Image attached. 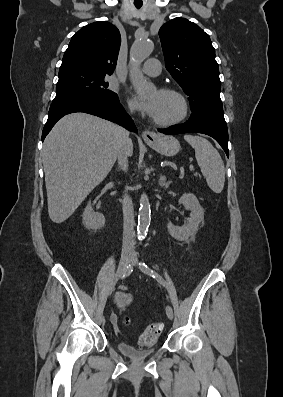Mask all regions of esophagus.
<instances>
[{
	"mask_svg": "<svg viewBox=\"0 0 283 397\" xmlns=\"http://www.w3.org/2000/svg\"><path fill=\"white\" fill-rule=\"evenodd\" d=\"M142 137L147 142H153L157 139V134L154 131H144Z\"/></svg>",
	"mask_w": 283,
	"mask_h": 397,
	"instance_id": "obj_1",
	"label": "esophagus"
}]
</instances>
